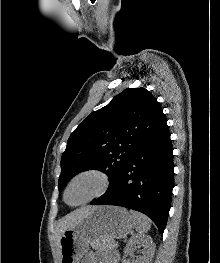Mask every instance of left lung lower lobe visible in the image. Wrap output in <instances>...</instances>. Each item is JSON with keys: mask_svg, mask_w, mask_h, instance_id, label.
Wrapping results in <instances>:
<instances>
[{"mask_svg": "<svg viewBox=\"0 0 220 263\" xmlns=\"http://www.w3.org/2000/svg\"><path fill=\"white\" fill-rule=\"evenodd\" d=\"M173 169V148L165 119L138 145L115 183L90 204L142 212L163 234L171 207Z\"/></svg>", "mask_w": 220, "mask_h": 263, "instance_id": "1", "label": "left lung lower lobe"}]
</instances>
